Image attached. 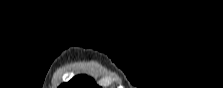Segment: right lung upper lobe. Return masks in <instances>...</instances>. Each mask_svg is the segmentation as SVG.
<instances>
[{
  "instance_id": "right-lung-upper-lobe-1",
  "label": "right lung upper lobe",
  "mask_w": 223,
  "mask_h": 88,
  "mask_svg": "<svg viewBox=\"0 0 223 88\" xmlns=\"http://www.w3.org/2000/svg\"><path fill=\"white\" fill-rule=\"evenodd\" d=\"M60 88H98L94 81L86 75L74 77L71 81L64 83Z\"/></svg>"
}]
</instances>
